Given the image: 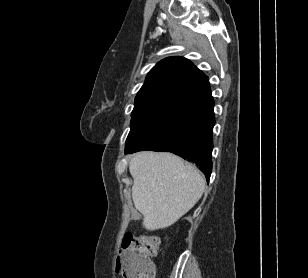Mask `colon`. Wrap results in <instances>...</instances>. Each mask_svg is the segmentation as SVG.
<instances>
[{
  "instance_id": "obj_1",
  "label": "colon",
  "mask_w": 308,
  "mask_h": 278,
  "mask_svg": "<svg viewBox=\"0 0 308 278\" xmlns=\"http://www.w3.org/2000/svg\"><path fill=\"white\" fill-rule=\"evenodd\" d=\"M160 243L158 237L126 234L116 260V272L123 278H152L149 260L157 254Z\"/></svg>"
}]
</instances>
